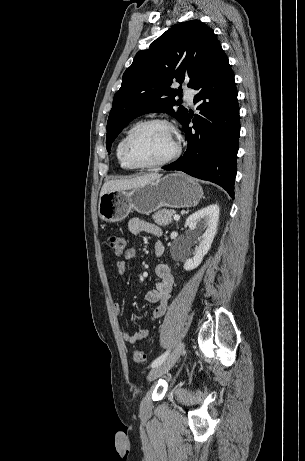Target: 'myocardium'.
Here are the masks:
<instances>
[{"label": "myocardium", "instance_id": "f54148a6", "mask_svg": "<svg viewBox=\"0 0 305 461\" xmlns=\"http://www.w3.org/2000/svg\"><path fill=\"white\" fill-rule=\"evenodd\" d=\"M151 125H161L166 127L167 129L170 130V132L173 134L174 139H175V149L174 151L165 159L154 162V163H142L137 161L131 154V144L136 137V135L145 127L151 126ZM182 151V146H181V141L179 139L178 133L175 129V127L167 120L165 119H160V118H152L148 119L145 121H142L135 125L131 131L128 133L127 137L125 138L124 144H123V155L127 163L136 168V169H155L159 167H163L174 160H176Z\"/></svg>", "mask_w": 305, "mask_h": 461}]
</instances>
